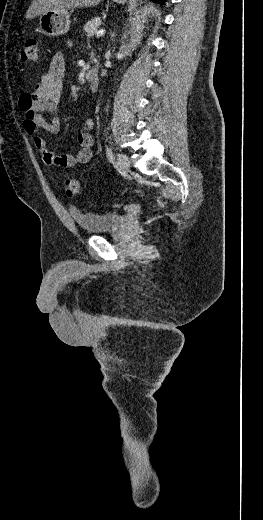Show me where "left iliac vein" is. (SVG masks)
Masks as SVG:
<instances>
[{"mask_svg": "<svg viewBox=\"0 0 263 520\" xmlns=\"http://www.w3.org/2000/svg\"><path fill=\"white\" fill-rule=\"evenodd\" d=\"M116 160H117V163L120 167V169H122L124 172H127L129 171L130 169V161L128 159V157L124 154H117L116 155Z\"/></svg>", "mask_w": 263, "mask_h": 520, "instance_id": "4c4485c4", "label": "left iliac vein"}]
</instances>
